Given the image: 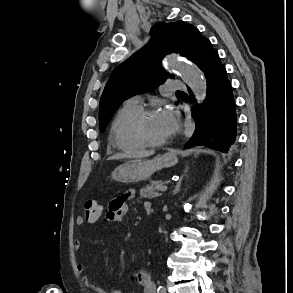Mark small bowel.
<instances>
[{
    "mask_svg": "<svg viewBox=\"0 0 293 293\" xmlns=\"http://www.w3.org/2000/svg\"><path fill=\"white\" fill-rule=\"evenodd\" d=\"M136 196L134 190H128L120 196L114 198L108 207L105 214V219L109 222H122L128 212V202L133 200ZM147 207L152 208V205L147 202L144 204V209ZM77 225H82L83 220L78 218L76 220ZM82 246L81 241L77 240L74 243V248L80 250ZM86 267L82 264L78 265V272L84 277V281L94 292L96 293H124L123 290L117 288H109L97 283L95 280L88 278L84 275ZM136 279L138 284L142 287L143 293H155L156 287L152 281L151 275L148 271L140 270L136 273Z\"/></svg>",
    "mask_w": 293,
    "mask_h": 293,
    "instance_id": "c3829d8e",
    "label": "small bowel"
}]
</instances>
